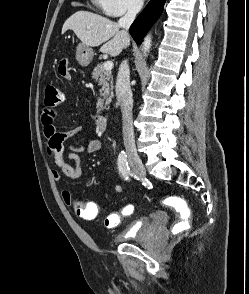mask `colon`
Returning a JSON list of instances; mask_svg holds the SVG:
<instances>
[{
  "label": "colon",
  "instance_id": "5ec220e1",
  "mask_svg": "<svg viewBox=\"0 0 249 294\" xmlns=\"http://www.w3.org/2000/svg\"><path fill=\"white\" fill-rule=\"evenodd\" d=\"M58 71H59V74L61 76H64L65 74L68 73V61L66 59H63L60 62ZM62 97H63V94H62L61 90L58 87H56L54 85H47L46 86L44 103L47 106L54 107V106L60 104L61 101H62ZM167 200H173V204L175 206L179 207L180 209H183V210L188 209V204L183 199L168 198ZM74 210H75V213L78 216L87 215L90 218H93L95 213L99 212L98 206H97V209L88 210V209H86L85 204L80 203V202H75ZM132 211H133V208L131 206H128L127 209H126V213L130 214V213H132ZM114 222H116V220H114ZM188 227H189L188 219H183V220H181V221H179L178 223L175 224L174 231L175 232H180V231H183V230L187 229Z\"/></svg>",
  "mask_w": 249,
  "mask_h": 294
}]
</instances>
